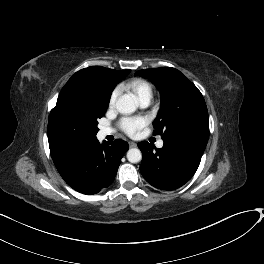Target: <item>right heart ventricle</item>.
<instances>
[{
    "mask_svg": "<svg viewBox=\"0 0 264 264\" xmlns=\"http://www.w3.org/2000/svg\"><path fill=\"white\" fill-rule=\"evenodd\" d=\"M126 88L130 89L138 99L146 96L152 97V86L146 80L134 79L126 84Z\"/></svg>",
    "mask_w": 264,
    "mask_h": 264,
    "instance_id": "1",
    "label": "right heart ventricle"
}]
</instances>
